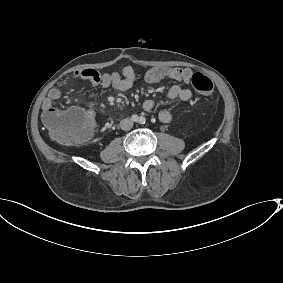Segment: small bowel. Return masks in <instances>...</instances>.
I'll return each mask as SVG.
<instances>
[{
    "mask_svg": "<svg viewBox=\"0 0 283 283\" xmlns=\"http://www.w3.org/2000/svg\"><path fill=\"white\" fill-rule=\"evenodd\" d=\"M75 76L89 82L93 86L103 89L112 88L120 92L128 91L135 81V72L130 66H125L121 73H100L97 70L87 68L76 71ZM191 77L192 72L189 69L166 66L152 67L145 73V81L150 84L157 83L166 78L181 84H188ZM191 97L192 91L190 88L175 84L170 87L164 98L167 100L179 99L182 101H188L191 99ZM61 98V91L58 88H51L43 102V111L47 113L48 111L54 109V103L60 101ZM97 106V101H90L88 103L87 114L92 119ZM155 107L156 103L154 100L148 99L143 103V109L146 112H152ZM158 118L162 123H169L172 120V114L168 110H163L159 113Z\"/></svg>",
    "mask_w": 283,
    "mask_h": 283,
    "instance_id": "1",
    "label": "small bowel"
}]
</instances>
